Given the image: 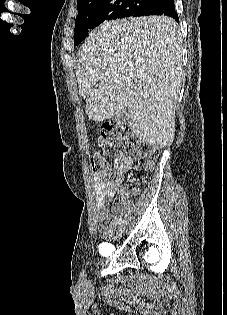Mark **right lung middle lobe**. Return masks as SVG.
Segmentation results:
<instances>
[{"instance_id":"dd1d6c3e","label":"right lung middle lobe","mask_w":227,"mask_h":315,"mask_svg":"<svg viewBox=\"0 0 227 315\" xmlns=\"http://www.w3.org/2000/svg\"><path fill=\"white\" fill-rule=\"evenodd\" d=\"M153 0H78V15L75 20L74 43L78 45L88 31L118 18L131 17L136 10H143Z\"/></svg>"}]
</instances>
